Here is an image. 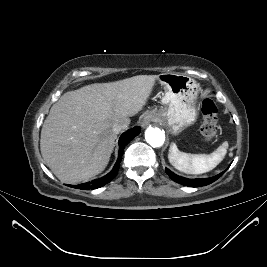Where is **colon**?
Segmentation results:
<instances>
[{
  "label": "colon",
  "instance_id": "obj_1",
  "mask_svg": "<svg viewBox=\"0 0 267 267\" xmlns=\"http://www.w3.org/2000/svg\"><path fill=\"white\" fill-rule=\"evenodd\" d=\"M218 107L210 100L206 99L202 103L201 113L203 122L200 127V133L206 141H212L218 134Z\"/></svg>",
  "mask_w": 267,
  "mask_h": 267
}]
</instances>
